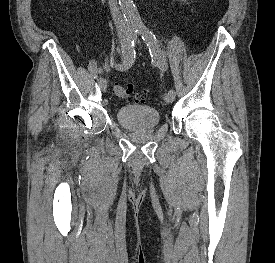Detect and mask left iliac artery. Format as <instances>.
<instances>
[{"instance_id": "44dca946", "label": "left iliac artery", "mask_w": 275, "mask_h": 263, "mask_svg": "<svg viewBox=\"0 0 275 263\" xmlns=\"http://www.w3.org/2000/svg\"><path fill=\"white\" fill-rule=\"evenodd\" d=\"M137 32L141 35L143 41L146 43L151 58L152 63L157 65L161 71H166L168 68L166 58L160 48L159 41L157 40L156 36L153 32H151L146 26L141 25L137 28ZM170 93H174L173 89L169 90Z\"/></svg>"}]
</instances>
